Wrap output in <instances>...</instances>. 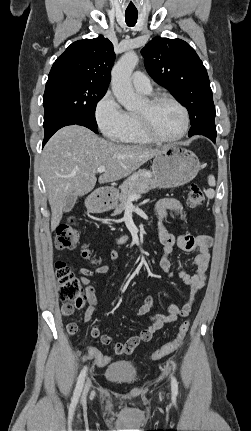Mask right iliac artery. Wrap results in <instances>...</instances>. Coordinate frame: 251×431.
I'll use <instances>...</instances> for the list:
<instances>
[{
  "mask_svg": "<svg viewBox=\"0 0 251 431\" xmlns=\"http://www.w3.org/2000/svg\"><path fill=\"white\" fill-rule=\"evenodd\" d=\"M86 372H87V367L85 366L82 369V371H81V373H80V375L78 377V381H77V384H76V387H75L74 396H73V399L75 401L78 400V398H79V396L81 394V391H82V388H83V384H84V380H85V376H86Z\"/></svg>",
  "mask_w": 251,
  "mask_h": 431,
  "instance_id": "82829eb1",
  "label": "right iliac artery"
}]
</instances>
